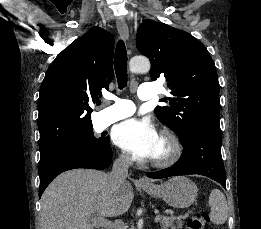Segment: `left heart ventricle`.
Masks as SVG:
<instances>
[{"label": "left heart ventricle", "mask_w": 261, "mask_h": 229, "mask_svg": "<svg viewBox=\"0 0 261 229\" xmlns=\"http://www.w3.org/2000/svg\"><path fill=\"white\" fill-rule=\"evenodd\" d=\"M165 152V144L164 142L160 139L157 150L153 156V158L161 157Z\"/></svg>", "instance_id": "left-heart-ventricle-1"}]
</instances>
